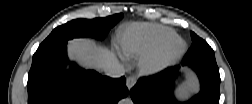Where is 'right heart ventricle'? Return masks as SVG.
<instances>
[{"instance_id":"obj_1","label":"right heart ventricle","mask_w":252,"mask_h":104,"mask_svg":"<svg viewBox=\"0 0 252 104\" xmlns=\"http://www.w3.org/2000/svg\"><path fill=\"white\" fill-rule=\"evenodd\" d=\"M175 35L174 30L165 26L137 23L119 38L118 44L127 58H138L156 49Z\"/></svg>"}]
</instances>
